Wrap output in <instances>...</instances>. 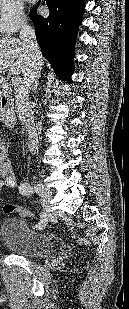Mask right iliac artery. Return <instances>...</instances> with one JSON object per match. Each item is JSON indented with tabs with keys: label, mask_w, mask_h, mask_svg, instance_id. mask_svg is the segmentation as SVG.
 <instances>
[{
	"label": "right iliac artery",
	"mask_w": 129,
	"mask_h": 309,
	"mask_svg": "<svg viewBox=\"0 0 129 309\" xmlns=\"http://www.w3.org/2000/svg\"><path fill=\"white\" fill-rule=\"evenodd\" d=\"M19 191L22 195H26V196H29V195H32L34 194V190H33V187L30 185V184H22L20 187H19ZM45 217H46V214L43 213L42 214V219H41V222L38 224V227H40L41 223L43 221H45Z\"/></svg>",
	"instance_id": "obj_1"
}]
</instances>
